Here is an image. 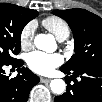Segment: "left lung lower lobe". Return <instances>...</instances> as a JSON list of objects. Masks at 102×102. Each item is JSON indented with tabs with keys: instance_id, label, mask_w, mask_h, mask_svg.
I'll return each mask as SVG.
<instances>
[{
	"instance_id": "left-lung-lower-lobe-1",
	"label": "left lung lower lobe",
	"mask_w": 102,
	"mask_h": 102,
	"mask_svg": "<svg viewBox=\"0 0 102 102\" xmlns=\"http://www.w3.org/2000/svg\"><path fill=\"white\" fill-rule=\"evenodd\" d=\"M65 74H73L74 79L80 76L81 80H74L70 84L67 80V92L55 97V102H101L102 100V67L78 68L72 71L60 68Z\"/></svg>"
}]
</instances>
